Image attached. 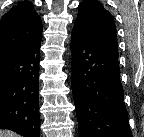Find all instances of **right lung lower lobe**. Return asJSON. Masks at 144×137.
<instances>
[{
	"label": "right lung lower lobe",
	"instance_id": "obj_1",
	"mask_svg": "<svg viewBox=\"0 0 144 137\" xmlns=\"http://www.w3.org/2000/svg\"><path fill=\"white\" fill-rule=\"evenodd\" d=\"M41 37L0 59V129L40 137L39 61Z\"/></svg>",
	"mask_w": 144,
	"mask_h": 137
}]
</instances>
